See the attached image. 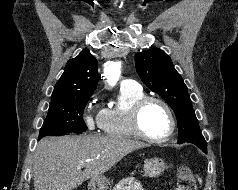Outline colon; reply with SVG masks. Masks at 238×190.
<instances>
[{
    "instance_id": "colon-1",
    "label": "colon",
    "mask_w": 238,
    "mask_h": 190,
    "mask_svg": "<svg viewBox=\"0 0 238 190\" xmlns=\"http://www.w3.org/2000/svg\"><path fill=\"white\" fill-rule=\"evenodd\" d=\"M174 190H196V179L189 167L181 166L178 169Z\"/></svg>"
}]
</instances>
